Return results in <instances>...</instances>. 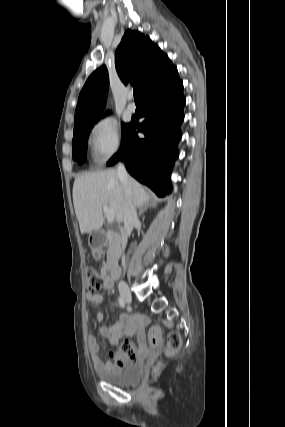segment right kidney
I'll return each mask as SVG.
<instances>
[{
	"label": "right kidney",
	"mask_w": 285,
	"mask_h": 427,
	"mask_svg": "<svg viewBox=\"0 0 285 427\" xmlns=\"http://www.w3.org/2000/svg\"><path fill=\"white\" fill-rule=\"evenodd\" d=\"M154 224H155V222H153V224H152L151 228H153V227H154Z\"/></svg>",
	"instance_id": "right-kidney-1"
}]
</instances>
